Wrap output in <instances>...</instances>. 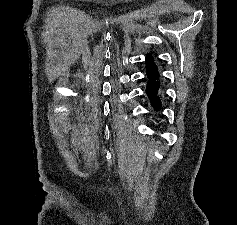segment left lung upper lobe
Returning <instances> with one entry per match:
<instances>
[{
	"mask_svg": "<svg viewBox=\"0 0 237 225\" xmlns=\"http://www.w3.org/2000/svg\"><path fill=\"white\" fill-rule=\"evenodd\" d=\"M146 73L148 76L157 77L159 76L157 67L153 64L152 56L147 55L146 57Z\"/></svg>",
	"mask_w": 237,
	"mask_h": 225,
	"instance_id": "1",
	"label": "left lung upper lobe"
}]
</instances>
